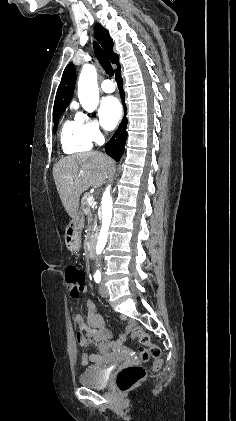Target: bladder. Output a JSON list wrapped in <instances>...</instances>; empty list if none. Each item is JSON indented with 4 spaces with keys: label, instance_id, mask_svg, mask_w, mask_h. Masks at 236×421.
<instances>
[{
    "label": "bladder",
    "instance_id": "bladder-1",
    "mask_svg": "<svg viewBox=\"0 0 236 421\" xmlns=\"http://www.w3.org/2000/svg\"><path fill=\"white\" fill-rule=\"evenodd\" d=\"M79 383L84 386L102 388L106 387L107 381L98 367L90 365L81 371Z\"/></svg>",
    "mask_w": 236,
    "mask_h": 421
}]
</instances>
